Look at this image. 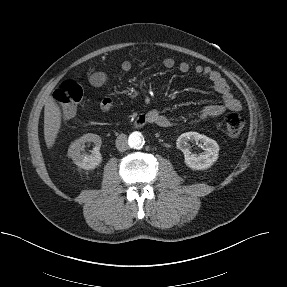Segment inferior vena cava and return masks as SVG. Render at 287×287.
Returning a JSON list of instances; mask_svg holds the SVG:
<instances>
[{
	"label": "inferior vena cava",
	"mask_w": 287,
	"mask_h": 287,
	"mask_svg": "<svg viewBox=\"0 0 287 287\" xmlns=\"http://www.w3.org/2000/svg\"><path fill=\"white\" fill-rule=\"evenodd\" d=\"M116 147L120 152H124L128 149L127 136L125 134H120L116 139Z\"/></svg>",
	"instance_id": "1"
}]
</instances>
